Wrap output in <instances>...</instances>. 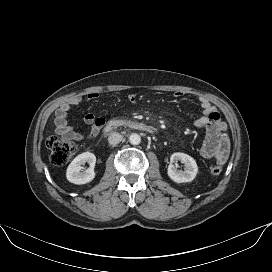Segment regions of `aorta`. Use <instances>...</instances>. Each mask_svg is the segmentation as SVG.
<instances>
[{
	"label": "aorta",
	"instance_id": "aorta-1",
	"mask_svg": "<svg viewBox=\"0 0 272 272\" xmlns=\"http://www.w3.org/2000/svg\"><path fill=\"white\" fill-rule=\"evenodd\" d=\"M129 142L132 144V145H138L140 144L141 142V137L139 134L137 133H133L130 135L129 137Z\"/></svg>",
	"mask_w": 272,
	"mask_h": 272
}]
</instances>
